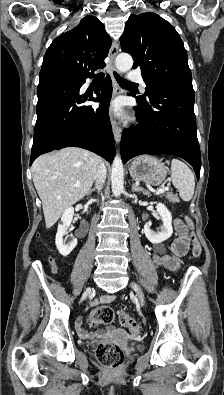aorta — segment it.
Returning <instances> with one entry per match:
<instances>
[{
    "mask_svg": "<svg viewBox=\"0 0 224 395\" xmlns=\"http://www.w3.org/2000/svg\"><path fill=\"white\" fill-rule=\"evenodd\" d=\"M115 65L119 72L125 73L132 68L133 59L128 53H121L116 57ZM111 187L116 197L120 196L124 189V168L119 154H116L112 163Z\"/></svg>",
    "mask_w": 224,
    "mask_h": 395,
    "instance_id": "1",
    "label": "aorta"
}]
</instances>
